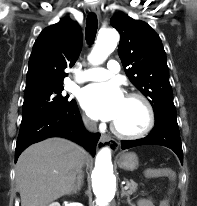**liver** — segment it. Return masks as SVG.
Returning a JSON list of instances; mask_svg holds the SVG:
<instances>
[{
  "mask_svg": "<svg viewBox=\"0 0 197 206\" xmlns=\"http://www.w3.org/2000/svg\"><path fill=\"white\" fill-rule=\"evenodd\" d=\"M90 162V155L82 147L63 138L31 145L16 164L21 206H48L70 194L82 165Z\"/></svg>",
  "mask_w": 197,
  "mask_h": 206,
  "instance_id": "6515ba94",
  "label": "liver"
}]
</instances>
